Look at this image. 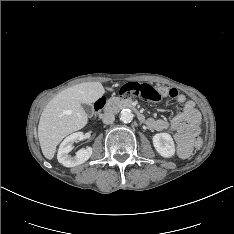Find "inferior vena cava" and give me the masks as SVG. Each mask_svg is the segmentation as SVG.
<instances>
[{
  "label": "inferior vena cava",
  "mask_w": 234,
  "mask_h": 234,
  "mask_svg": "<svg viewBox=\"0 0 234 234\" xmlns=\"http://www.w3.org/2000/svg\"><path fill=\"white\" fill-rule=\"evenodd\" d=\"M115 120V116L113 113H105L102 116V121L104 124H112Z\"/></svg>",
  "instance_id": "obj_1"
}]
</instances>
